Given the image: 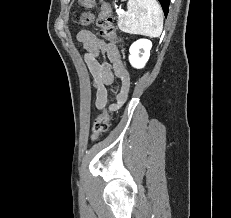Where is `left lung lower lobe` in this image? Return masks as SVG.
<instances>
[{
    "label": "left lung lower lobe",
    "instance_id": "obj_1",
    "mask_svg": "<svg viewBox=\"0 0 231 218\" xmlns=\"http://www.w3.org/2000/svg\"><path fill=\"white\" fill-rule=\"evenodd\" d=\"M163 8L165 16L168 14L170 0H158Z\"/></svg>",
    "mask_w": 231,
    "mask_h": 218
}]
</instances>
